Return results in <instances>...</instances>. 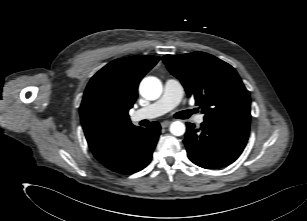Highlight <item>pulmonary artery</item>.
I'll use <instances>...</instances> for the list:
<instances>
[{
    "label": "pulmonary artery",
    "instance_id": "pulmonary-artery-1",
    "mask_svg": "<svg viewBox=\"0 0 307 221\" xmlns=\"http://www.w3.org/2000/svg\"><path fill=\"white\" fill-rule=\"evenodd\" d=\"M183 94V87L179 80L175 78L166 79L162 96L152 104L135 111L132 115L133 121L153 119L164 115L181 102ZM195 121L198 124H202L204 116L202 114L197 115Z\"/></svg>",
    "mask_w": 307,
    "mask_h": 221
}]
</instances>
